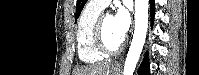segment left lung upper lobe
<instances>
[{"label":"left lung upper lobe","mask_w":199,"mask_h":75,"mask_svg":"<svg viewBox=\"0 0 199 75\" xmlns=\"http://www.w3.org/2000/svg\"><path fill=\"white\" fill-rule=\"evenodd\" d=\"M86 2H87V0H77L75 20L78 19Z\"/></svg>","instance_id":"obj_1"}]
</instances>
